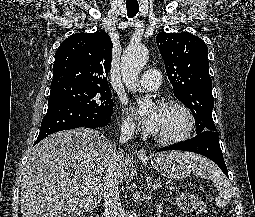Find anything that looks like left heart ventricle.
Returning <instances> with one entry per match:
<instances>
[{"label": "left heart ventricle", "mask_w": 255, "mask_h": 217, "mask_svg": "<svg viewBox=\"0 0 255 217\" xmlns=\"http://www.w3.org/2000/svg\"><path fill=\"white\" fill-rule=\"evenodd\" d=\"M186 126L184 113L176 107H161V115L157 136H173L180 133Z\"/></svg>", "instance_id": "b2bd125f"}]
</instances>
